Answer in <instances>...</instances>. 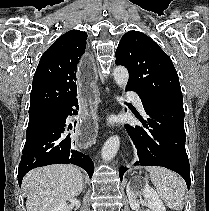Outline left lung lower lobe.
I'll return each instance as SVG.
<instances>
[{"instance_id": "left-lung-lower-lobe-1", "label": "left lung lower lobe", "mask_w": 209, "mask_h": 211, "mask_svg": "<svg viewBox=\"0 0 209 211\" xmlns=\"http://www.w3.org/2000/svg\"><path fill=\"white\" fill-rule=\"evenodd\" d=\"M127 90L135 91L127 87ZM136 92V91H135ZM147 118L138 117L143 126L125 128L137 147L139 161L135 165L162 166L179 173L190 188V166L185 149L184 109L183 105L175 103H158L144 100ZM128 170L121 167L119 176Z\"/></svg>"}]
</instances>
